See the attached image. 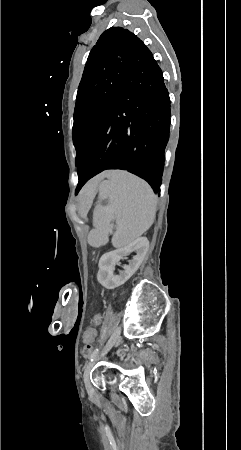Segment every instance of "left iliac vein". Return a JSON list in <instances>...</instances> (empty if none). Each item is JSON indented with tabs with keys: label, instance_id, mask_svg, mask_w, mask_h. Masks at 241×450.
<instances>
[{
	"label": "left iliac vein",
	"instance_id": "left-iliac-vein-1",
	"mask_svg": "<svg viewBox=\"0 0 241 450\" xmlns=\"http://www.w3.org/2000/svg\"><path fill=\"white\" fill-rule=\"evenodd\" d=\"M120 334H121V326H118L115 329L112 337L110 338L109 342L107 343V345L104 348V350L102 351V353L99 356H97L93 362H90L85 367L84 374H83V380H84L86 391L90 397L94 394V389H93L91 381H90L91 370H92L95 362L98 361L101 357H104L107 354V352L112 348V346L119 339Z\"/></svg>",
	"mask_w": 241,
	"mask_h": 450
}]
</instances>
